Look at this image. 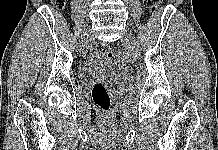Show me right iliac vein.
<instances>
[{
  "mask_svg": "<svg viewBox=\"0 0 218 150\" xmlns=\"http://www.w3.org/2000/svg\"><path fill=\"white\" fill-rule=\"evenodd\" d=\"M90 37H91V32L90 30H87L83 34L82 41L87 42L90 39Z\"/></svg>",
  "mask_w": 218,
  "mask_h": 150,
  "instance_id": "63e3f726",
  "label": "right iliac vein"
}]
</instances>
